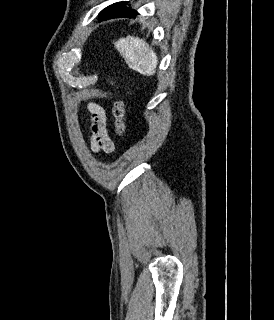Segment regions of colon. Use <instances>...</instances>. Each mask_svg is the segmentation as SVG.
<instances>
[{"instance_id":"colon-1","label":"colon","mask_w":274,"mask_h":320,"mask_svg":"<svg viewBox=\"0 0 274 320\" xmlns=\"http://www.w3.org/2000/svg\"><path fill=\"white\" fill-rule=\"evenodd\" d=\"M126 106L123 102H120L114 109V115L117 117V131L122 132L125 129L123 118L125 116Z\"/></svg>"}]
</instances>
